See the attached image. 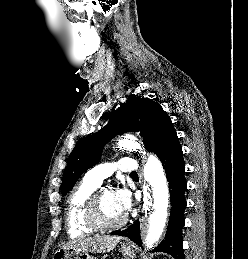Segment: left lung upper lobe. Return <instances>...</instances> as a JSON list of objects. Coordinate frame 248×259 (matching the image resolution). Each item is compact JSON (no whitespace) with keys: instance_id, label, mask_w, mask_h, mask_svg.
Here are the masks:
<instances>
[{"instance_id":"obj_1","label":"left lung upper lobe","mask_w":248,"mask_h":259,"mask_svg":"<svg viewBox=\"0 0 248 259\" xmlns=\"http://www.w3.org/2000/svg\"><path fill=\"white\" fill-rule=\"evenodd\" d=\"M125 132H140L146 147L155 154L178 140L175 128L161 105L149 98L133 95L112 114L104 128L83 138L75 146L63 175L62 194L74 186L83 172L99 162L103 146L109 140Z\"/></svg>"}]
</instances>
